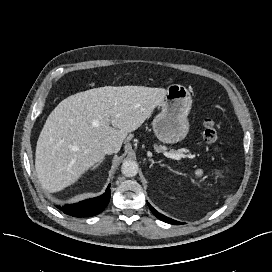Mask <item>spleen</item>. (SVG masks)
<instances>
[{
	"label": "spleen",
	"instance_id": "3e777b00",
	"mask_svg": "<svg viewBox=\"0 0 272 272\" xmlns=\"http://www.w3.org/2000/svg\"><path fill=\"white\" fill-rule=\"evenodd\" d=\"M202 173H203V172H202V170H200V169H199V170H196V172H195V174H196L197 176H201Z\"/></svg>",
	"mask_w": 272,
	"mask_h": 272
}]
</instances>
